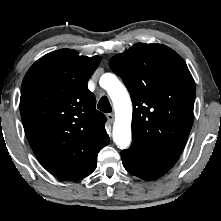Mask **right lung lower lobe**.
Returning a JSON list of instances; mask_svg holds the SVG:
<instances>
[{
    "label": "right lung lower lobe",
    "instance_id": "right-lung-lower-lobe-1",
    "mask_svg": "<svg viewBox=\"0 0 221 221\" xmlns=\"http://www.w3.org/2000/svg\"><path fill=\"white\" fill-rule=\"evenodd\" d=\"M106 145H108V144H106ZM98 152L93 155L92 159L87 163V165L78 174H76L74 177L70 178L69 180H71V181L79 180V179L84 178V177L88 176L89 174H91L96 168V161H97Z\"/></svg>",
    "mask_w": 221,
    "mask_h": 221
}]
</instances>
